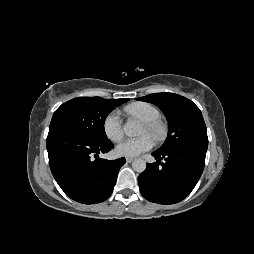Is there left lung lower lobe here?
<instances>
[{"label": "left lung lower lobe", "mask_w": 254, "mask_h": 254, "mask_svg": "<svg viewBox=\"0 0 254 254\" xmlns=\"http://www.w3.org/2000/svg\"><path fill=\"white\" fill-rule=\"evenodd\" d=\"M206 151L202 147L187 146L165 153L153 152L158 160L147 164L138 177L144 198L165 205L182 201L194 189L203 172Z\"/></svg>", "instance_id": "obj_1"}]
</instances>
